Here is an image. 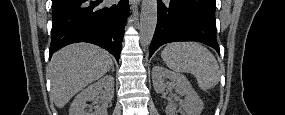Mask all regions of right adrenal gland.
<instances>
[{
    "label": "right adrenal gland",
    "instance_id": "right-adrenal-gland-1",
    "mask_svg": "<svg viewBox=\"0 0 285 115\" xmlns=\"http://www.w3.org/2000/svg\"><path fill=\"white\" fill-rule=\"evenodd\" d=\"M111 70H112V72H114V71H115V69H114V65H112V66H111Z\"/></svg>",
    "mask_w": 285,
    "mask_h": 115
}]
</instances>
